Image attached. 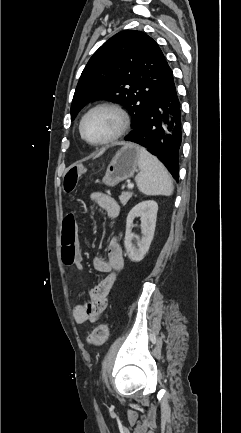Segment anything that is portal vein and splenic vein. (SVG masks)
Segmentation results:
<instances>
[{
  "label": "portal vein and splenic vein",
  "mask_w": 241,
  "mask_h": 433,
  "mask_svg": "<svg viewBox=\"0 0 241 433\" xmlns=\"http://www.w3.org/2000/svg\"><path fill=\"white\" fill-rule=\"evenodd\" d=\"M127 187H128V189H133V188H134V185L131 184V183H128Z\"/></svg>",
  "instance_id": "1"
}]
</instances>
